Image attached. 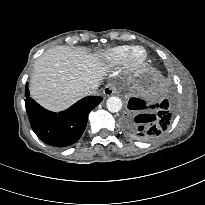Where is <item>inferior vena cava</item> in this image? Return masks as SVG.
<instances>
[{
    "label": "inferior vena cava",
    "instance_id": "inferior-vena-cava-1",
    "mask_svg": "<svg viewBox=\"0 0 205 205\" xmlns=\"http://www.w3.org/2000/svg\"><path fill=\"white\" fill-rule=\"evenodd\" d=\"M97 89H98V85L93 86V87L88 91V94H93V93H95Z\"/></svg>",
    "mask_w": 205,
    "mask_h": 205
}]
</instances>
